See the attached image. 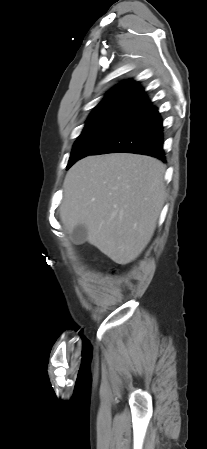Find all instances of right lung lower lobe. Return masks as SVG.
Instances as JSON below:
<instances>
[{
  "label": "right lung lower lobe",
  "instance_id": "1",
  "mask_svg": "<svg viewBox=\"0 0 207 449\" xmlns=\"http://www.w3.org/2000/svg\"><path fill=\"white\" fill-rule=\"evenodd\" d=\"M162 120L153 105L138 112L90 155L128 152L144 154L165 161Z\"/></svg>",
  "mask_w": 207,
  "mask_h": 449
}]
</instances>
